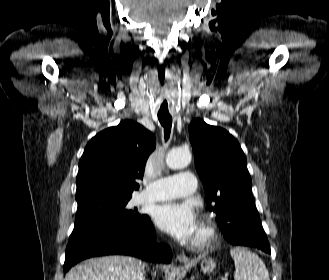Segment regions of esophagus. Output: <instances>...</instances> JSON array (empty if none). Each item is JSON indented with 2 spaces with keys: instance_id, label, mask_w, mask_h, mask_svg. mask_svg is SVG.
Masks as SVG:
<instances>
[{
  "instance_id": "esophagus-1",
  "label": "esophagus",
  "mask_w": 329,
  "mask_h": 280,
  "mask_svg": "<svg viewBox=\"0 0 329 280\" xmlns=\"http://www.w3.org/2000/svg\"><path fill=\"white\" fill-rule=\"evenodd\" d=\"M178 261L183 264H188L190 262V258L184 254H180L177 257Z\"/></svg>"
}]
</instances>
